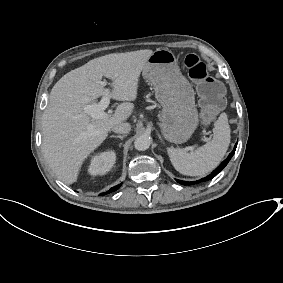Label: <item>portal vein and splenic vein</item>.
Returning <instances> with one entry per match:
<instances>
[{"label": "portal vein and splenic vein", "instance_id": "obj_1", "mask_svg": "<svg viewBox=\"0 0 283 283\" xmlns=\"http://www.w3.org/2000/svg\"><path fill=\"white\" fill-rule=\"evenodd\" d=\"M110 98L108 96H103L101 101L97 104L86 105L84 107V112L90 116L92 119H104L108 115L104 110L109 106ZM191 152L194 150L193 146L188 148Z\"/></svg>", "mask_w": 283, "mask_h": 283}]
</instances>
